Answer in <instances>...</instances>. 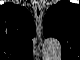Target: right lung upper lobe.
<instances>
[{
    "label": "right lung upper lobe",
    "instance_id": "right-lung-upper-lobe-1",
    "mask_svg": "<svg viewBox=\"0 0 80 60\" xmlns=\"http://www.w3.org/2000/svg\"><path fill=\"white\" fill-rule=\"evenodd\" d=\"M35 33L33 17L24 7L12 3L0 6L1 49L15 57H28L32 53Z\"/></svg>",
    "mask_w": 80,
    "mask_h": 60
}]
</instances>
